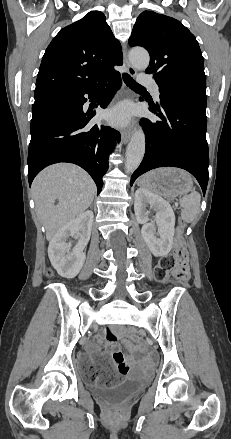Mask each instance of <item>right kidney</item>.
Instances as JSON below:
<instances>
[{"label":"right kidney","mask_w":231,"mask_h":439,"mask_svg":"<svg viewBox=\"0 0 231 439\" xmlns=\"http://www.w3.org/2000/svg\"><path fill=\"white\" fill-rule=\"evenodd\" d=\"M93 217L92 211L83 212L58 230L50 241L48 256L60 276L72 279L80 272L86 259L84 249L90 240ZM79 231L81 234L78 243L69 252L67 239Z\"/></svg>","instance_id":"ca27d5eb"}]
</instances>
